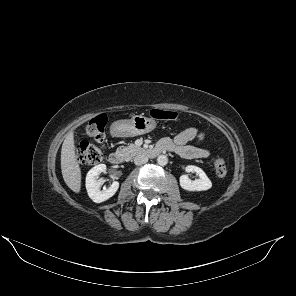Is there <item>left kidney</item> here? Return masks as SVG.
Segmentation results:
<instances>
[{
	"label": "left kidney",
	"instance_id": "5707ae66",
	"mask_svg": "<svg viewBox=\"0 0 296 296\" xmlns=\"http://www.w3.org/2000/svg\"><path fill=\"white\" fill-rule=\"evenodd\" d=\"M187 172H196L199 175V179L191 180L187 175L180 176V186L187 191H206L212 187L210 179L205 172L193 165L186 167Z\"/></svg>",
	"mask_w": 296,
	"mask_h": 296
}]
</instances>
